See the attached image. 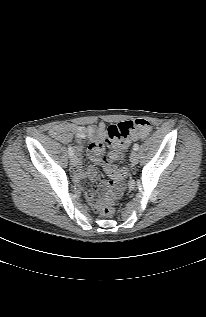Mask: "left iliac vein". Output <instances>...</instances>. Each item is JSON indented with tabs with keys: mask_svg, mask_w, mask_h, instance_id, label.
<instances>
[{
	"mask_svg": "<svg viewBox=\"0 0 206 317\" xmlns=\"http://www.w3.org/2000/svg\"><path fill=\"white\" fill-rule=\"evenodd\" d=\"M130 162L132 166H135L138 163V154L135 151L131 153Z\"/></svg>",
	"mask_w": 206,
	"mask_h": 317,
	"instance_id": "left-iliac-vein-1",
	"label": "left iliac vein"
}]
</instances>
